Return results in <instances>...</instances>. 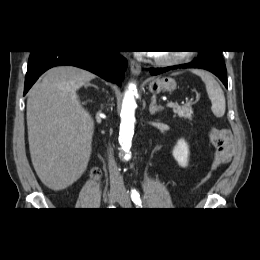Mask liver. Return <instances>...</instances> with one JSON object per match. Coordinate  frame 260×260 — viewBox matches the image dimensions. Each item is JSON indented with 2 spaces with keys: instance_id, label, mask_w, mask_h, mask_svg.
I'll return each instance as SVG.
<instances>
[{
  "instance_id": "liver-1",
  "label": "liver",
  "mask_w": 260,
  "mask_h": 260,
  "mask_svg": "<svg viewBox=\"0 0 260 260\" xmlns=\"http://www.w3.org/2000/svg\"><path fill=\"white\" fill-rule=\"evenodd\" d=\"M95 75L73 66L48 70L29 91L28 141L32 164L50 189L62 190L85 172L92 151L94 122L77 90Z\"/></svg>"
}]
</instances>
